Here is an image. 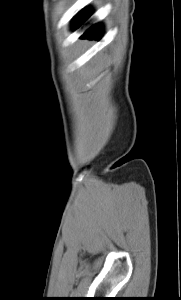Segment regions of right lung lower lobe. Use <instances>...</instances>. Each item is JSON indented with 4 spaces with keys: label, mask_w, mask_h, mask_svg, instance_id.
Masks as SVG:
<instances>
[{
    "label": "right lung lower lobe",
    "mask_w": 181,
    "mask_h": 300,
    "mask_svg": "<svg viewBox=\"0 0 181 300\" xmlns=\"http://www.w3.org/2000/svg\"><path fill=\"white\" fill-rule=\"evenodd\" d=\"M88 16V13L83 12L82 14H79L76 19L74 20L75 25L78 27L80 26L85 18ZM101 33L100 27L99 26H92L86 31V35H84L83 38H88V39H97L99 40V35Z\"/></svg>",
    "instance_id": "obj_1"
}]
</instances>
